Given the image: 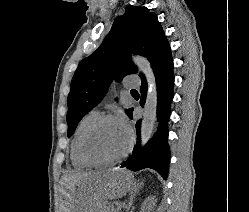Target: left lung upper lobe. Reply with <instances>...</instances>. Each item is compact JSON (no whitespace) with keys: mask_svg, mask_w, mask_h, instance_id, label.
<instances>
[{"mask_svg":"<svg viewBox=\"0 0 249 212\" xmlns=\"http://www.w3.org/2000/svg\"><path fill=\"white\" fill-rule=\"evenodd\" d=\"M168 44L157 15L146 7H128L113 23L101 46L83 59L71 82L68 95V137L79 121L106 94L113 80L120 82L137 72L131 54L145 56L151 63Z\"/></svg>","mask_w":249,"mask_h":212,"instance_id":"5c2ea615","label":"left lung upper lobe"}]
</instances>
